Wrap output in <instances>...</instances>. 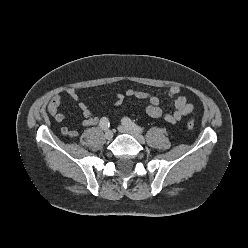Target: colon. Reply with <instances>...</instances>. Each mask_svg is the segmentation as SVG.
Instances as JSON below:
<instances>
[{"label": "colon", "instance_id": "obj_1", "mask_svg": "<svg viewBox=\"0 0 248 248\" xmlns=\"http://www.w3.org/2000/svg\"><path fill=\"white\" fill-rule=\"evenodd\" d=\"M194 126H195V124H194V122L192 121V120H189L188 122H187V128L188 129H193L194 128Z\"/></svg>", "mask_w": 248, "mask_h": 248}]
</instances>
